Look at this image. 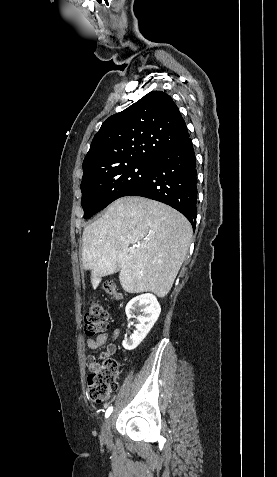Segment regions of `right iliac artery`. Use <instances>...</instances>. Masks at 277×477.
<instances>
[{
	"instance_id": "obj_1",
	"label": "right iliac artery",
	"mask_w": 277,
	"mask_h": 477,
	"mask_svg": "<svg viewBox=\"0 0 277 477\" xmlns=\"http://www.w3.org/2000/svg\"><path fill=\"white\" fill-rule=\"evenodd\" d=\"M112 411H113V407H109V408L106 410L105 417H106V418L109 417L110 414L112 413Z\"/></svg>"
}]
</instances>
